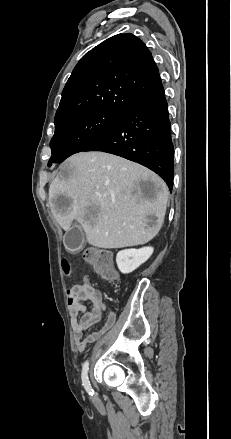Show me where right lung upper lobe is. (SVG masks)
Wrapping results in <instances>:
<instances>
[{"label": "right lung upper lobe", "instance_id": "cb5924a9", "mask_svg": "<svg viewBox=\"0 0 231 439\" xmlns=\"http://www.w3.org/2000/svg\"><path fill=\"white\" fill-rule=\"evenodd\" d=\"M163 89L151 52L136 36H112L85 54L68 79L55 118L104 109L124 114Z\"/></svg>", "mask_w": 231, "mask_h": 439}]
</instances>
